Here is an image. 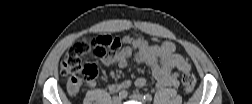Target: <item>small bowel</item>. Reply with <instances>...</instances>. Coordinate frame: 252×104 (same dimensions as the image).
I'll return each mask as SVG.
<instances>
[{
	"label": "small bowel",
	"instance_id": "small-bowel-1",
	"mask_svg": "<svg viewBox=\"0 0 252 104\" xmlns=\"http://www.w3.org/2000/svg\"><path fill=\"white\" fill-rule=\"evenodd\" d=\"M132 46L136 50L135 61L150 68L159 88L178 86L179 71L190 69V64L176 53V47L171 41L150 44L145 39H140L138 42L132 43ZM132 53V48L125 46L117 50L113 55L103 59L102 62L106 66L116 65L119 68H125ZM131 84L130 80L111 83L108 85V90L111 93L122 92L128 89ZM95 85V77L84 83V86L89 88ZM134 85L137 88H142L146 85V79L139 77L135 80Z\"/></svg>",
	"mask_w": 252,
	"mask_h": 104
}]
</instances>
